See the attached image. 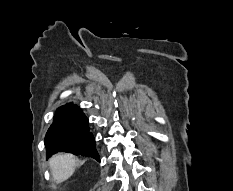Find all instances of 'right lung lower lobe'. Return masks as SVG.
I'll return each instance as SVG.
<instances>
[{"mask_svg": "<svg viewBox=\"0 0 233 191\" xmlns=\"http://www.w3.org/2000/svg\"><path fill=\"white\" fill-rule=\"evenodd\" d=\"M48 156L57 152L92 157L100 161L95 139L89 132L88 119L77 105L67 103L56 110L54 121L45 137Z\"/></svg>", "mask_w": 233, "mask_h": 191, "instance_id": "1", "label": "right lung lower lobe"}]
</instances>
